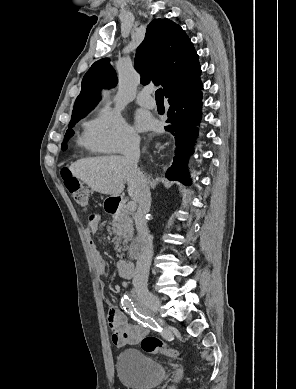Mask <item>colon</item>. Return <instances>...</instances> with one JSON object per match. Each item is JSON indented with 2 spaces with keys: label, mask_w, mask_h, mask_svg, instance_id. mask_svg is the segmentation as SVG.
<instances>
[{
  "label": "colon",
  "mask_w": 296,
  "mask_h": 389,
  "mask_svg": "<svg viewBox=\"0 0 296 389\" xmlns=\"http://www.w3.org/2000/svg\"><path fill=\"white\" fill-rule=\"evenodd\" d=\"M65 187L72 196L75 203L86 210L91 205V193L88 187L80 180L75 178L68 169L61 172ZM143 351L151 354H164L171 357H178L179 351L164 344L160 339L154 336H145L141 340Z\"/></svg>",
  "instance_id": "colon-1"
}]
</instances>
